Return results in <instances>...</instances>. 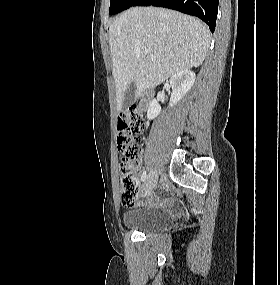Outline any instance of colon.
I'll return each instance as SVG.
<instances>
[{"label":"colon","instance_id":"colon-1","mask_svg":"<svg viewBox=\"0 0 280 285\" xmlns=\"http://www.w3.org/2000/svg\"><path fill=\"white\" fill-rule=\"evenodd\" d=\"M146 123L142 112L137 108H129L118 118V149L121 154V203L124 206L134 205L137 198V179L129 171V162L141 155V141Z\"/></svg>","mask_w":280,"mask_h":285}]
</instances>
